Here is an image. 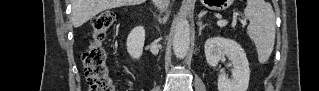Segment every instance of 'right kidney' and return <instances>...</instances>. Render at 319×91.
<instances>
[{"mask_svg":"<svg viewBox=\"0 0 319 91\" xmlns=\"http://www.w3.org/2000/svg\"><path fill=\"white\" fill-rule=\"evenodd\" d=\"M145 30L142 26L135 27L127 38V51L133 59H139L143 53Z\"/></svg>","mask_w":319,"mask_h":91,"instance_id":"ca27d5eb","label":"right kidney"}]
</instances>
